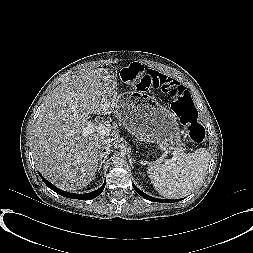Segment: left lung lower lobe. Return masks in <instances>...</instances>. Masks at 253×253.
I'll return each mask as SVG.
<instances>
[{
  "label": "left lung lower lobe",
  "mask_w": 253,
  "mask_h": 253,
  "mask_svg": "<svg viewBox=\"0 0 253 253\" xmlns=\"http://www.w3.org/2000/svg\"><path fill=\"white\" fill-rule=\"evenodd\" d=\"M135 191L140 195L142 196L143 198L147 199V200H150V201H155V202H165V203H170V202H177L179 200H163V199H157V198H154V197H151L145 193H143L141 190H139L135 185H133Z\"/></svg>",
  "instance_id": "0a47b994"
}]
</instances>
